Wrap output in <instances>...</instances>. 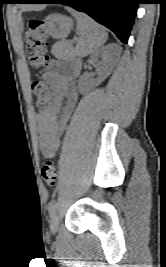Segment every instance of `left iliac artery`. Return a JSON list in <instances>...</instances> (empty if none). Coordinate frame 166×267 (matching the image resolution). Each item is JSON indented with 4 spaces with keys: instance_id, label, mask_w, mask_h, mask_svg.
Instances as JSON below:
<instances>
[{
    "instance_id": "1",
    "label": "left iliac artery",
    "mask_w": 166,
    "mask_h": 267,
    "mask_svg": "<svg viewBox=\"0 0 166 267\" xmlns=\"http://www.w3.org/2000/svg\"><path fill=\"white\" fill-rule=\"evenodd\" d=\"M57 209H58V203L55 202L51 205L49 209L50 215L53 216L56 213Z\"/></svg>"
}]
</instances>
